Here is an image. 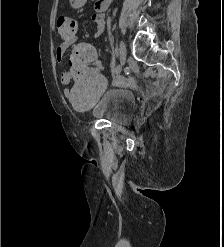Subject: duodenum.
<instances>
[{"label":"duodenum","instance_id":"410a0bca","mask_svg":"<svg viewBox=\"0 0 224 247\" xmlns=\"http://www.w3.org/2000/svg\"><path fill=\"white\" fill-rule=\"evenodd\" d=\"M111 2L112 0H98L97 9L99 11H105Z\"/></svg>","mask_w":224,"mask_h":247}]
</instances>
